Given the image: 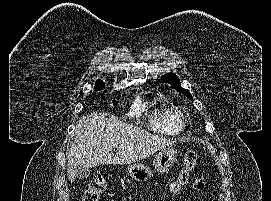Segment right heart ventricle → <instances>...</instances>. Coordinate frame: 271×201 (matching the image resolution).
I'll return each instance as SVG.
<instances>
[{
    "label": "right heart ventricle",
    "instance_id": "right-heart-ventricle-1",
    "mask_svg": "<svg viewBox=\"0 0 271 201\" xmlns=\"http://www.w3.org/2000/svg\"><path fill=\"white\" fill-rule=\"evenodd\" d=\"M150 127L162 134H177L185 127L184 115L178 108L158 99L150 116Z\"/></svg>",
    "mask_w": 271,
    "mask_h": 201
}]
</instances>
